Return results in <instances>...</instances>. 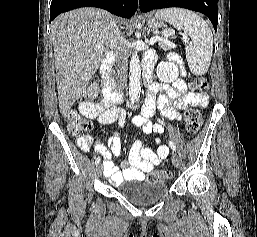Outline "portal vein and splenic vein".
<instances>
[{"instance_id": "portal-vein-and-splenic-vein-1", "label": "portal vein and splenic vein", "mask_w": 257, "mask_h": 237, "mask_svg": "<svg viewBox=\"0 0 257 237\" xmlns=\"http://www.w3.org/2000/svg\"><path fill=\"white\" fill-rule=\"evenodd\" d=\"M157 41H163L164 43L168 44L169 46L175 47V45L173 43H171L170 41H168L167 39H163L161 37H153L150 39L149 44L153 45L154 43H156ZM188 40L185 39V43H187Z\"/></svg>"}]
</instances>
